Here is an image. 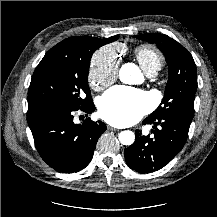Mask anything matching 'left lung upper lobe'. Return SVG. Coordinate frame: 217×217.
<instances>
[{"label":"left lung upper lobe","instance_id":"left-lung-upper-lobe-1","mask_svg":"<svg viewBox=\"0 0 217 217\" xmlns=\"http://www.w3.org/2000/svg\"><path fill=\"white\" fill-rule=\"evenodd\" d=\"M154 43L166 57L169 79L160 106L148 118L178 115L192 120L197 70L192 55L177 41L165 34L146 33L134 36Z\"/></svg>","mask_w":217,"mask_h":217}]
</instances>
